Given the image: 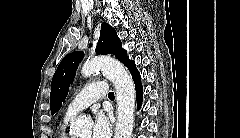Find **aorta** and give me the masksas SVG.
<instances>
[{
	"label": "aorta",
	"instance_id": "obj_1",
	"mask_svg": "<svg viewBox=\"0 0 240 138\" xmlns=\"http://www.w3.org/2000/svg\"><path fill=\"white\" fill-rule=\"evenodd\" d=\"M103 71L112 81L116 90L117 124L114 138H131L135 112V85L127 69L119 61L109 57H98L86 61L81 73L89 77L95 72ZM91 128V121L86 116H78L71 132L76 137L86 136Z\"/></svg>",
	"mask_w": 240,
	"mask_h": 138
}]
</instances>
